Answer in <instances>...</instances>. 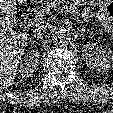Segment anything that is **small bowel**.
<instances>
[{
	"instance_id": "obj_1",
	"label": "small bowel",
	"mask_w": 113,
	"mask_h": 113,
	"mask_svg": "<svg viewBox=\"0 0 113 113\" xmlns=\"http://www.w3.org/2000/svg\"><path fill=\"white\" fill-rule=\"evenodd\" d=\"M73 1L78 4H87V7L82 13V17L84 20H89L92 16V8L99 4L101 0H73Z\"/></svg>"
}]
</instances>
